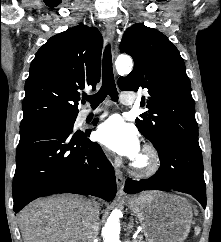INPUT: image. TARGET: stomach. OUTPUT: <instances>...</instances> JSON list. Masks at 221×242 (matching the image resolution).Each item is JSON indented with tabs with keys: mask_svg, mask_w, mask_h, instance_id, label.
<instances>
[{
	"mask_svg": "<svg viewBox=\"0 0 221 242\" xmlns=\"http://www.w3.org/2000/svg\"><path fill=\"white\" fill-rule=\"evenodd\" d=\"M127 204L139 219L147 242H182L192 224V209L178 195L147 191L131 197Z\"/></svg>",
	"mask_w": 221,
	"mask_h": 242,
	"instance_id": "1",
	"label": "stomach"
}]
</instances>
